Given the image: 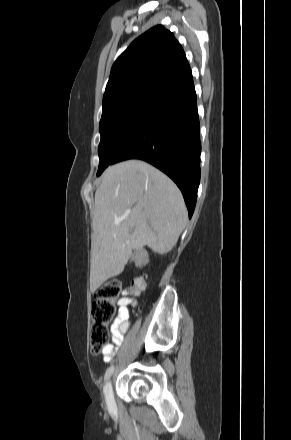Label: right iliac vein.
Returning a JSON list of instances; mask_svg holds the SVG:
<instances>
[{"label":"right iliac vein","mask_w":291,"mask_h":440,"mask_svg":"<svg viewBox=\"0 0 291 440\" xmlns=\"http://www.w3.org/2000/svg\"><path fill=\"white\" fill-rule=\"evenodd\" d=\"M105 399L108 406L114 404L113 387L110 380H108L104 386Z\"/></svg>","instance_id":"obj_1"}]
</instances>
